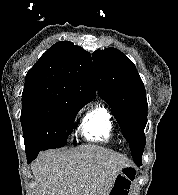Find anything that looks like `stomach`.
I'll return each mask as SVG.
<instances>
[{"instance_id": "0dacf381", "label": "stomach", "mask_w": 178, "mask_h": 195, "mask_svg": "<svg viewBox=\"0 0 178 195\" xmlns=\"http://www.w3.org/2000/svg\"><path fill=\"white\" fill-rule=\"evenodd\" d=\"M127 168H129V167H126V168H123L120 172H119V174L117 175V177H116V179H115V182H114V185H113V187H112V189H111V191H110V195H112V194H114V191H115V189H116V183L118 182V180H119V178H121V177H124L125 179H128V175H127V172H128V170L129 169H127ZM124 190H126V189H124Z\"/></svg>"}]
</instances>
